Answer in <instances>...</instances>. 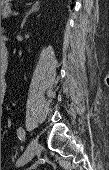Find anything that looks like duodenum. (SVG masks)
<instances>
[{
	"mask_svg": "<svg viewBox=\"0 0 109 170\" xmlns=\"http://www.w3.org/2000/svg\"><path fill=\"white\" fill-rule=\"evenodd\" d=\"M3 49L6 50L5 45L3 46ZM7 62H8V58H7V54L5 53L4 56H3V64L6 65Z\"/></svg>",
	"mask_w": 109,
	"mask_h": 170,
	"instance_id": "obj_1",
	"label": "duodenum"
}]
</instances>
